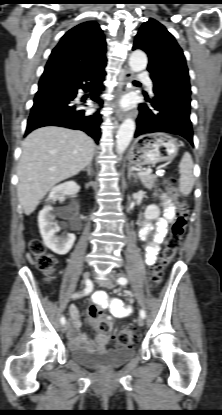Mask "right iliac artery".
Wrapping results in <instances>:
<instances>
[{"mask_svg": "<svg viewBox=\"0 0 222 415\" xmlns=\"http://www.w3.org/2000/svg\"><path fill=\"white\" fill-rule=\"evenodd\" d=\"M92 289H93V284H92V282L89 279H87L86 280V288L84 289L83 294L76 293L72 297L73 298H78L81 295H87V294H89L92 291ZM60 322H61V324H65L66 323L65 317H61Z\"/></svg>", "mask_w": 222, "mask_h": 415, "instance_id": "82829eb1", "label": "right iliac artery"}]
</instances>
